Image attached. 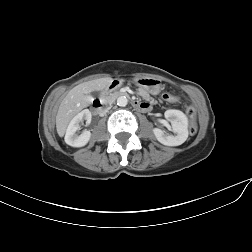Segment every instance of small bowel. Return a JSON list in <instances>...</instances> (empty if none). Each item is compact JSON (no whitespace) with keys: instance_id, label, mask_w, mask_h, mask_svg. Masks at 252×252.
I'll use <instances>...</instances> for the list:
<instances>
[{"instance_id":"small-bowel-1","label":"small bowel","mask_w":252,"mask_h":252,"mask_svg":"<svg viewBox=\"0 0 252 252\" xmlns=\"http://www.w3.org/2000/svg\"><path fill=\"white\" fill-rule=\"evenodd\" d=\"M150 108V104L148 102H142V109L143 111H147Z\"/></svg>"}]
</instances>
